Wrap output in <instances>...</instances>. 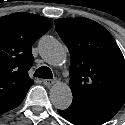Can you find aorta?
Listing matches in <instances>:
<instances>
[{
  "label": "aorta",
  "instance_id": "1",
  "mask_svg": "<svg viewBox=\"0 0 125 125\" xmlns=\"http://www.w3.org/2000/svg\"><path fill=\"white\" fill-rule=\"evenodd\" d=\"M40 55L45 62L58 66L66 61V49L55 38L44 37L40 40ZM50 99L57 109H66L72 103V92L68 85L56 83L50 89Z\"/></svg>",
  "mask_w": 125,
  "mask_h": 125
}]
</instances>
